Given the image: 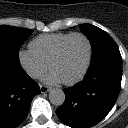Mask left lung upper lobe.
Returning <instances> with one entry per match:
<instances>
[{"instance_id": "1", "label": "left lung upper lobe", "mask_w": 128, "mask_h": 128, "mask_svg": "<svg viewBox=\"0 0 128 128\" xmlns=\"http://www.w3.org/2000/svg\"><path fill=\"white\" fill-rule=\"evenodd\" d=\"M79 27L90 40L93 52L91 61L107 53H120L115 41L104 30L91 24H82Z\"/></svg>"}]
</instances>
